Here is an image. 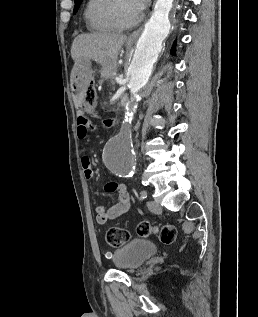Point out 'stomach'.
I'll list each match as a JSON object with an SVG mask.
<instances>
[{"label":"stomach","mask_w":258,"mask_h":317,"mask_svg":"<svg viewBox=\"0 0 258 317\" xmlns=\"http://www.w3.org/2000/svg\"><path fill=\"white\" fill-rule=\"evenodd\" d=\"M132 44L133 42L128 38V40H126L127 48H131ZM89 72H92L91 58H80V60H77L74 64V82H79V76L89 74Z\"/></svg>","instance_id":"0dacf381"}]
</instances>
